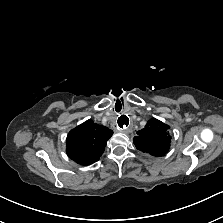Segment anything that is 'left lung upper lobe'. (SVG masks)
Segmentation results:
<instances>
[{
	"label": "left lung upper lobe",
	"mask_w": 223,
	"mask_h": 223,
	"mask_svg": "<svg viewBox=\"0 0 223 223\" xmlns=\"http://www.w3.org/2000/svg\"><path fill=\"white\" fill-rule=\"evenodd\" d=\"M170 127L153 118L137 132L133 142L136 148L153 156H163L170 148Z\"/></svg>",
	"instance_id": "5c2ea615"
}]
</instances>
